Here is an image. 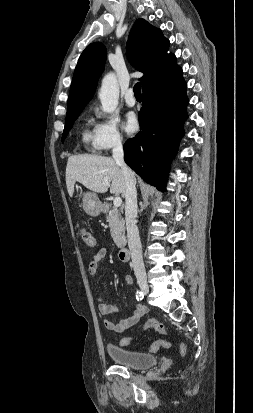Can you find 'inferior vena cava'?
Masks as SVG:
<instances>
[{"mask_svg":"<svg viewBox=\"0 0 253 413\" xmlns=\"http://www.w3.org/2000/svg\"><path fill=\"white\" fill-rule=\"evenodd\" d=\"M113 159L121 167L125 180V220L127 228L128 246L131 252L132 265L136 276L146 277L142 258V247L139 231L136 225L137 192L133 172L124 162L123 146L120 138L115 139L113 145Z\"/></svg>","mask_w":253,"mask_h":413,"instance_id":"inferior-vena-cava-1","label":"inferior vena cava"}]
</instances>
